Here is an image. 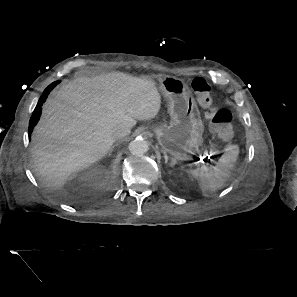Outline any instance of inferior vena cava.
I'll return each mask as SVG.
<instances>
[{
    "mask_svg": "<svg viewBox=\"0 0 297 297\" xmlns=\"http://www.w3.org/2000/svg\"><path fill=\"white\" fill-rule=\"evenodd\" d=\"M130 133V128L118 127L114 130L113 139L114 141H119L125 138Z\"/></svg>",
    "mask_w": 297,
    "mask_h": 297,
    "instance_id": "1",
    "label": "inferior vena cava"
}]
</instances>
